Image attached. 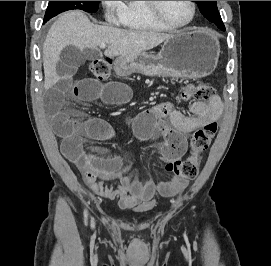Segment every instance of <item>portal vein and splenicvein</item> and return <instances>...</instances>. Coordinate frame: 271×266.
Here are the masks:
<instances>
[{
  "mask_svg": "<svg viewBox=\"0 0 271 266\" xmlns=\"http://www.w3.org/2000/svg\"><path fill=\"white\" fill-rule=\"evenodd\" d=\"M106 44H102V45H100V48H106Z\"/></svg>",
  "mask_w": 271,
  "mask_h": 266,
  "instance_id": "18ae733b",
  "label": "portal vein and splenic vein"
}]
</instances>
